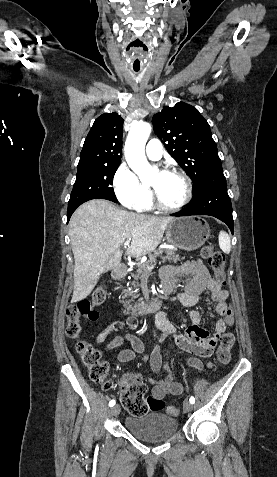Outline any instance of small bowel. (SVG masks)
<instances>
[{
	"mask_svg": "<svg viewBox=\"0 0 277 477\" xmlns=\"http://www.w3.org/2000/svg\"><path fill=\"white\" fill-rule=\"evenodd\" d=\"M163 280V289L166 293L171 292L179 284L184 277L189 279L183 283V290L178 294L179 301L185 306H192L198 301V297L204 292L209 291L211 300L216 303L214 324L215 333L210 336L208 330L204 328V319L201 313L193 310L190 314L191 324L185 329L183 334L179 333L177 328L168 320L165 314H159L156 318L157 327L162 331L158 343L153 348L149 356H142L143 363H148L153 373H158L161 369L165 372L164 379L157 380L154 377L149 378L152 387V397L163 399L167 395H180L183 391V385L174 380L173 370L169 365H162V356L160 352V344L168 337H172L176 345L186 353L192 354L186 358L187 364L200 372L203 369V363L198 358L209 357L215 348L218 338L226 329L223 315L226 311L228 300V292L222 288V284L211 276L207 267L201 260L186 261L180 265H166L160 271ZM124 327L129 329L137 328V321L128 318L125 321H115L104 329L96 338L97 343L105 341L106 337ZM129 342L130 349L119 351L117 359L119 362L125 363L132 361L137 355H141L145 350L144 341L134 334H124L114 337L106 345V350H114L120 347L123 342ZM211 368L213 364L207 363ZM143 376L140 373H127L123 376L122 383H142Z\"/></svg>",
	"mask_w": 277,
	"mask_h": 477,
	"instance_id": "obj_1",
	"label": "small bowel"
}]
</instances>
